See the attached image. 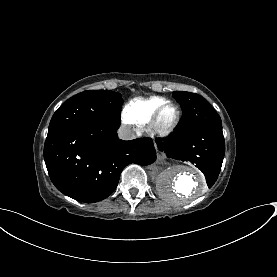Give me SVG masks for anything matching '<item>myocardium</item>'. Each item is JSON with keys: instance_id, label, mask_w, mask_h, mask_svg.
<instances>
[{"instance_id": "obj_1", "label": "myocardium", "mask_w": 277, "mask_h": 277, "mask_svg": "<svg viewBox=\"0 0 277 277\" xmlns=\"http://www.w3.org/2000/svg\"><path fill=\"white\" fill-rule=\"evenodd\" d=\"M174 107L176 110V115L174 121L168 127H162L160 125V118L163 111L168 107ZM181 112L177 104L166 101L159 105L151 116L149 122L147 123V130L152 137H166L171 134L180 122Z\"/></svg>"}]
</instances>
